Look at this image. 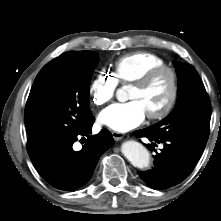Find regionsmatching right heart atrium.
Masks as SVG:
<instances>
[{"mask_svg":"<svg viewBox=\"0 0 221 221\" xmlns=\"http://www.w3.org/2000/svg\"><path fill=\"white\" fill-rule=\"evenodd\" d=\"M117 82L114 77L105 72H99L89 85V94L91 101L96 106H102L110 101L115 96Z\"/></svg>","mask_w":221,"mask_h":221,"instance_id":"right-heart-atrium-1","label":"right heart atrium"}]
</instances>
